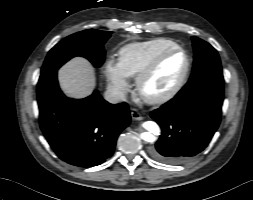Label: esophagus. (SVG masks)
Masks as SVG:
<instances>
[{
	"label": "esophagus",
	"instance_id": "esophagus-1",
	"mask_svg": "<svg viewBox=\"0 0 253 200\" xmlns=\"http://www.w3.org/2000/svg\"><path fill=\"white\" fill-rule=\"evenodd\" d=\"M131 118L133 120H138V121H140V120L143 119V117L141 116V114L139 112H137V111H132L131 112Z\"/></svg>",
	"mask_w": 253,
	"mask_h": 200
}]
</instances>
